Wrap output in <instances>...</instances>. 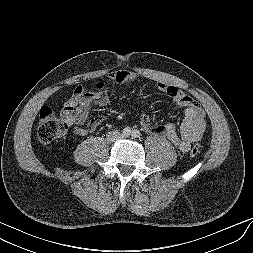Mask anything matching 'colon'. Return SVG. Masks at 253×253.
<instances>
[{"instance_id":"5ec220e1","label":"colon","mask_w":253,"mask_h":253,"mask_svg":"<svg viewBox=\"0 0 253 253\" xmlns=\"http://www.w3.org/2000/svg\"><path fill=\"white\" fill-rule=\"evenodd\" d=\"M68 124L59 119L49 107H42L38 116L37 139L41 144H49L66 135ZM201 147L196 144L190 150V155H199Z\"/></svg>"}]
</instances>
